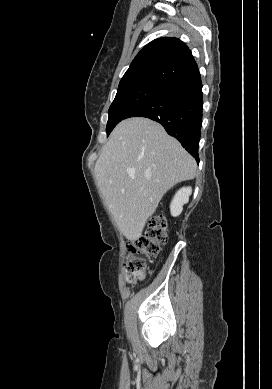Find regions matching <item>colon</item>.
<instances>
[{"mask_svg":"<svg viewBox=\"0 0 272 389\" xmlns=\"http://www.w3.org/2000/svg\"><path fill=\"white\" fill-rule=\"evenodd\" d=\"M167 242V224L162 216H154L145 232L129 243V256L125 265V279L128 283L142 281L148 274L147 258L158 254Z\"/></svg>","mask_w":272,"mask_h":389,"instance_id":"obj_1","label":"colon"}]
</instances>
